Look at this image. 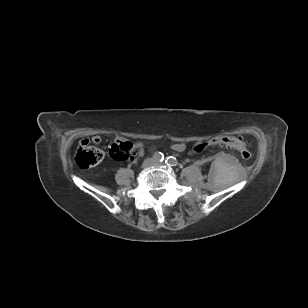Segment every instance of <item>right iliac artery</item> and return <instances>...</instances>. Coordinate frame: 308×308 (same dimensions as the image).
I'll use <instances>...</instances> for the list:
<instances>
[{
	"mask_svg": "<svg viewBox=\"0 0 308 308\" xmlns=\"http://www.w3.org/2000/svg\"><path fill=\"white\" fill-rule=\"evenodd\" d=\"M153 159L162 162L164 160V155L161 152H155L152 155Z\"/></svg>",
	"mask_w": 308,
	"mask_h": 308,
	"instance_id": "1",
	"label": "right iliac artery"
}]
</instances>
